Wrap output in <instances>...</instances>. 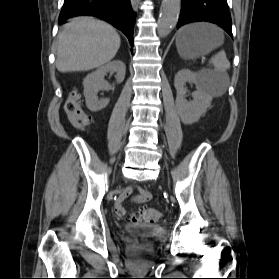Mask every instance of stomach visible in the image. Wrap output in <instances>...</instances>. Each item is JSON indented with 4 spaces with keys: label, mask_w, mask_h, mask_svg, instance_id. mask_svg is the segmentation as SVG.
Segmentation results:
<instances>
[{
    "label": "stomach",
    "mask_w": 279,
    "mask_h": 279,
    "mask_svg": "<svg viewBox=\"0 0 279 279\" xmlns=\"http://www.w3.org/2000/svg\"><path fill=\"white\" fill-rule=\"evenodd\" d=\"M220 29L206 23L187 25L179 30L176 47L179 55L185 59L207 54L223 43Z\"/></svg>",
    "instance_id": "obj_1"
}]
</instances>
